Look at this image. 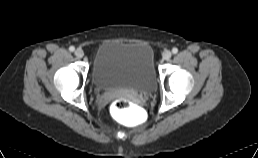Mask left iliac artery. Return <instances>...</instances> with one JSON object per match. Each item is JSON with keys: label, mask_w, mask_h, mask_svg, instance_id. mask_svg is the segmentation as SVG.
Instances as JSON below:
<instances>
[{"label": "left iliac artery", "mask_w": 258, "mask_h": 158, "mask_svg": "<svg viewBox=\"0 0 258 158\" xmlns=\"http://www.w3.org/2000/svg\"><path fill=\"white\" fill-rule=\"evenodd\" d=\"M172 53H173V54L178 53V49H177L176 47H174V48L172 49Z\"/></svg>", "instance_id": "1"}]
</instances>
